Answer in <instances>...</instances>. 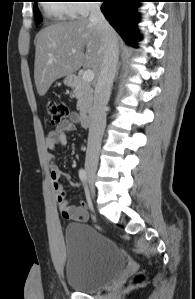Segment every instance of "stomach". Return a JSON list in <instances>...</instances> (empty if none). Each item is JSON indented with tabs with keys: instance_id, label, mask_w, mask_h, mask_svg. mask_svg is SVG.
Returning <instances> with one entry per match:
<instances>
[{
	"instance_id": "obj_1",
	"label": "stomach",
	"mask_w": 195,
	"mask_h": 299,
	"mask_svg": "<svg viewBox=\"0 0 195 299\" xmlns=\"http://www.w3.org/2000/svg\"><path fill=\"white\" fill-rule=\"evenodd\" d=\"M64 84L69 86V87H73L74 86V81H73V76H67L65 79H64Z\"/></svg>"
}]
</instances>
